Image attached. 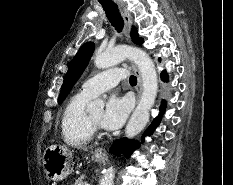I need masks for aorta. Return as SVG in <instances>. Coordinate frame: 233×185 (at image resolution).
Returning <instances> with one entry per match:
<instances>
[{
    "label": "aorta",
    "mask_w": 233,
    "mask_h": 185,
    "mask_svg": "<svg viewBox=\"0 0 233 185\" xmlns=\"http://www.w3.org/2000/svg\"><path fill=\"white\" fill-rule=\"evenodd\" d=\"M125 59H130L137 65L143 84L140 101L125 129V136L127 138H133L147 125L150 109L154 105L158 91V77L152 59L142 49L122 45L104 52L98 51L94 58V64L98 69H105ZM103 108L104 102L102 100H95L88 104L87 111L94 112ZM114 177L115 169L113 167L108 168L100 181V185H113Z\"/></svg>",
    "instance_id": "1"
}]
</instances>
